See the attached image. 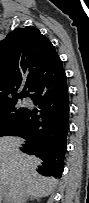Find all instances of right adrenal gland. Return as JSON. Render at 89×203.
I'll list each match as a JSON object with an SVG mask.
<instances>
[{
  "mask_svg": "<svg viewBox=\"0 0 89 203\" xmlns=\"http://www.w3.org/2000/svg\"><path fill=\"white\" fill-rule=\"evenodd\" d=\"M37 198L33 197V196H28L26 199H25V203H27V201H33Z\"/></svg>",
  "mask_w": 89,
  "mask_h": 203,
  "instance_id": "right-adrenal-gland-1",
  "label": "right adrenal gland"
}]
</instances>
